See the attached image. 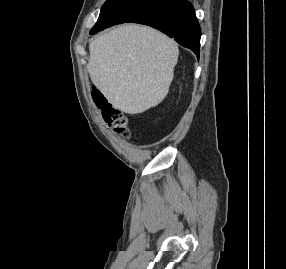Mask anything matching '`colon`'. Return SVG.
Masks as SVG:
<instances>
[{"label":"colon","mask_w":286,"mask_h":269,"mask_svg":"<svg viewBox=\"0 0 286 269\" xmlns=\"http://www.w3.org/2000/svg\"><path fill=\"white\" fill-rule=\"evenodd\" d=\"M95 104L100 108L104 121L118 134L128 137V119L117 108L113 107L101 93L93 96Z\"/></svg>","instance_id":"obj_1"}]
</instances>
